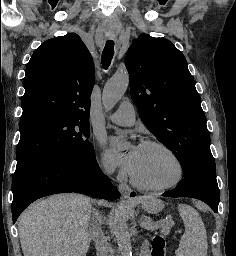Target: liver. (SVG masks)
<instances>
[{
  "label": "liver",
  "instance_id": "liver-1",
  "mask_svg": "<svg viewBox=\"0 0 236 256\" xmlns=\"http://www.w3.org/2000/svg\"><path fill=\"white\" fill-rule=\"evenodd\" d=\"M90 198L56 194L29 206L18 220L23 256H86Z\"/></svg>",
  "mask_w": 236,
  "mask_h": 256
}]
</instances>
